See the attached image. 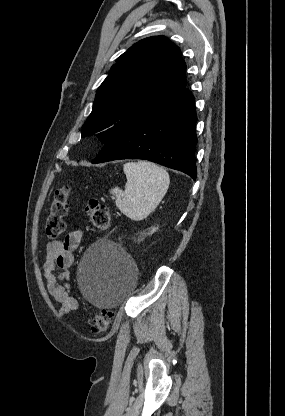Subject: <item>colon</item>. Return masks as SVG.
<instances>
[{
  "label": "colon",
  "mask_w": 285,
  "mask_h": 416,
  "mask_svg": "<svg viewBox=\"0 0 285 416\" xmlns=\"http://www.w3.org/2000/svg\"><path fill=\"white\" fill-rule=\"evenodd\" d=\"M69 191L66 187L57 189L54 192L50 203L49 215L46 220L45 232L49 239H57L65 231L64 218L67 213ZM91 224L99 229L106 230L111 223L110 211L97 199H90L85 207ZM112 313L108 310H100L91 317L92 332L95 335L103 334L112 323Z\"/></svg>",
  "instance_id": "obj_1"
}]
</instances>
